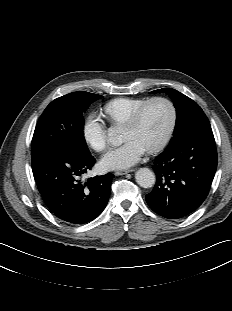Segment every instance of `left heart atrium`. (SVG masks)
<instances>
[{"label":"left heart atrium","instance_id":"39dd6f15","mask_svg":"<svg viewBox=\"0 0 232 311\" xmlns=\"http://www.w3.org/2000/svg\"><path fill=\"white\" fill-rule=\"evenodd\" d=\"M146 151L147 148L141 142L131 139L109 151L102 158L101 165L109 170L129 168L138 163Z\"/></svg>","mask_w":232,"mask_h":311}]
</instances>
